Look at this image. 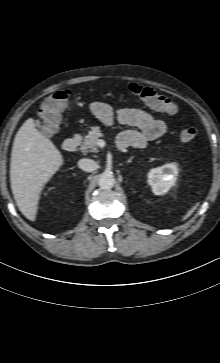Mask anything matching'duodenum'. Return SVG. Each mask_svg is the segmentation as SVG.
<instances>
[{
    "mask_svg": "<svg viewBox=\"0 0 220 363\" xmlns=\"http://www.w3.org/2000/svg\"><path fill=\"white\" fill-rule=\"evenodd\" d=\"M80 148V138L71 137L63 142V149L67 152H77Z\"/></svg>",
    "mask_w": 220,
    "mask_h": 363,
    "instance_id": "obj_1",
    "label": "duodenum"
}]
</instances>
